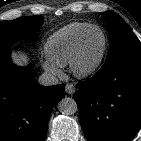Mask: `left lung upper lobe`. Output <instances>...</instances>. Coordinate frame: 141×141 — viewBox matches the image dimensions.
<instances>
[{"instance_id": "5c2ea615", "label": "left lung upper lobe", "mask_w": 141, "mask_h": 141, "mask_svg": "<svg viewBox=\"0 0 141 141\" xmlns=\"http://www.w3.org/2000/svg\"><path fill=\"white\" fill-rule=\"evenodd\" d=\"M101 14L110 33V46L105 63L123 56H141V43L125 21L112 11Z\"/></svg>"}]
</instances>
